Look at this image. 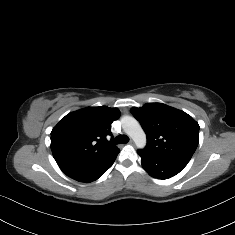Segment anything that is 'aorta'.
Instances as JSON below:
<instances>
[{"label":"aorta","instance_id":"762f6f07","mask_svg":"<svg viewBox=\"0 0 235 235\" xmlns=\"http://www.w3.org/2000/svg\"><path fill=\"white\" fill-rule=\"evenodd\" d=\"M121 123L124 132L132 138L137 148H144L146 146V134L138 121L131 116H123Z\"/></svg>","mask_w":235,"mask_h":235}]
</instances>
